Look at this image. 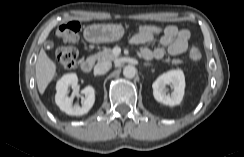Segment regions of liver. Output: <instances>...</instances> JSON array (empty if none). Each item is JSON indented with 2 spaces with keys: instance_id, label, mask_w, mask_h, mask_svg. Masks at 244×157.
Here are the masks:
<instances>
[{
  "instance_id": "1",
  "label": "liver",
  "mask_w": 244,
  "mask_h": 157,
  "mask_svg": "<svg viewBox=\"0 0 244 157\" xmlns=\"http://www.w3.org/2000/svg\"><path fill=\"white\" fill-rule=\"evenodd\" d=\"M36 81L40 94H44L47 86L56 74V65L46 54L44 49L40 50L35 65Z\"/></svg>"
}]
</instances>
